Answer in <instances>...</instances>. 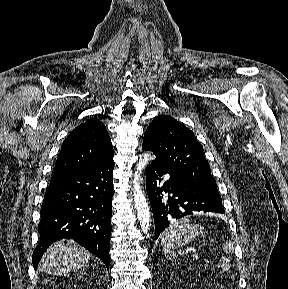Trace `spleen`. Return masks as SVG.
<instances>
[{"label":"spleen","mask_w":288,"mask_h":289,"mask_svg":"<svg viewBox=\"0 0 288 289\" xmlns=\"http://www.w3.org/2000/svg\"><path fill=\"white\" fill-rule=\"evenodd\" d=\"M203 227L191 224L186 218L172 223L161 235V245L164 255L168 259H175L176 248L188 244L203 232ZM230 262L226 257L220 259V267L228 269Z\"/></svg>","instance_id":"obj_1"}]
</instances>
